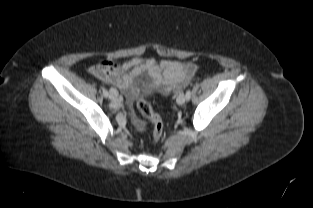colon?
Here are the masks:
<instances>
[{"label": "colon", "mask_w": 313, "mask_h": 208, "mask_svg": "<svg viewBox=\"0 0 313 208\" xmlns=\"http://www.w3.org/2000/svg\"><path fill=\"white\" fill-rule=\"evenodd\" d=\"M137 109L139 113L148 119L153 125L152 136L154 142H158L163 135V122L161 117L154 111L151 103L144 98L137 101Z\"/></svg>", "instance_id": "colon-1"}]
</instances>
